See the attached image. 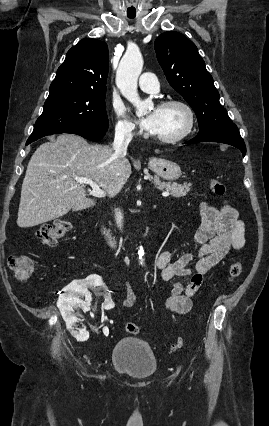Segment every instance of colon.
I'll return each mask as SVG.
<instances>
[{
  "mask_svg": "<svg viewBox=\"0 0 269 426\" xmlns=\"http://www.w3.org/2000/svg\"><path fill=\"white\" fill-rule=\"evenodd\" d=\"M209 189L216 196H223L225 194V185L223 182L211 179L208 182ZM72 228L70 220L65 218L57 219L52 224L42 226L38 232V239L47 246H54L57 242L67 235ZM8 265L12 270L15 279L18 282H26L31 277L34 271V265L32 259L27 255H11L8 258ZM242 273V264L237 261L231 264L229 268L230 279L238 278ZM126 332L130 334H136L139 332L140 327L134 322H127L125 324ZM182 341H178L172 345V349L176 350L182 346Z\"/></svg>",
  "mask_w": 269,
  "mask_h": 426,
  "instance_id": "1",
  "label": "colon"
}]
</instances>
